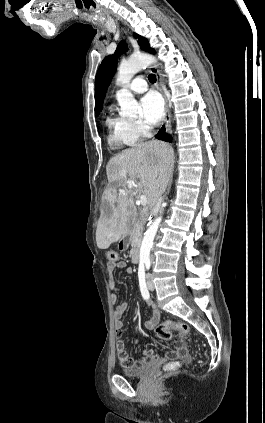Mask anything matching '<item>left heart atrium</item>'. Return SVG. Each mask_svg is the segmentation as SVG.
Here are the masks:
<instances>
[{
  "label": "left heart atrium",
  "mask_w": 265,
  "mask_h": 423,
  "mask_svg": "<svg viewBox=\"0 0 265 423\" xmlns=\"http://www.w3.org/2000/svg\"><path fill=\"white\" fill-rule=\"evenodd\" d=\"M142 117L149 124L159 123L164 116V104L161 97L150 92L143 96L140 100Z\"/></svg>",
  "instance_id": "1"
}]
</instances>
